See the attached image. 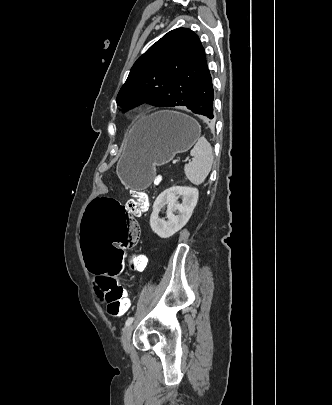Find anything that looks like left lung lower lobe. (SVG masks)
Masks as SVG:
<instances>
[{
	"label": "left lung lower lobe",
	"instance_id": "0a47b994",
	"mask_svg": "<svg viewBox=\"0 0 332 405\" xmlns=\"http://www.w3.org/2000/svg\"><path fill=\"white\" fill-rule=\"evenodd\" d=\"M213 100L214 90L211 74L208 67H206L195 87L192 102L187 108L193 113L204 116L206 119H214Z\"/></svg>",
	"mask_w": 332,
	"mask_h": 405
}]
</instances>
